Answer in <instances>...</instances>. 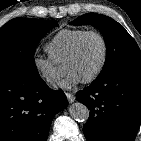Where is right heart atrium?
<instances>
[{"mask_svg":"<svg viewBox=\"0 0 141 141\" xmlns=\"http://www.w3.org/2000/svg\"><path fill=\"white\" fill-rule=\"evenodd\" d=\"M32 63L36 73L45 83L53 86L58 82L60 69L50 56L35 55Z\"/></svg>","mask_w":141,"mask_h":141,"instance_id":"d8ad5b80","label":"right heart atrium"}]
</instances>
